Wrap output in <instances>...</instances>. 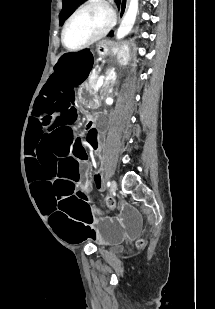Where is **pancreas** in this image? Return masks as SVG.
Masks as SVG:
<instances>
[{"instance_id":"obj_1","label":"pancreas","mask_w":215,"mask_h":309,"mask_svg":"<svg viewBox=\"0 0 215 309\" xmlns=\"http://www.w3.org/2000/svg\"><path fill=\"white\" fill-rule=\"evenodd\" d=\"M100 70H95V74H99ZM99 76H97V78H93V80H90L89 84L90 86H92V88H94V86H96V82L98 80ZM106 86H108V82H104V84H102L100 90H105Z\"/></svg>"}]
</instances>
